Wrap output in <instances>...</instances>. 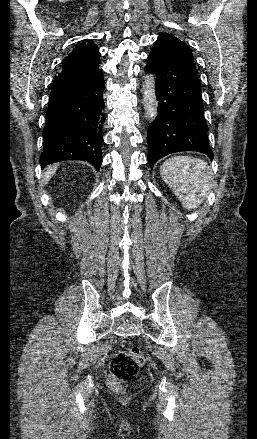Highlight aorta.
I'll list each match as a JSON object with an SVG mask.
<instances>
[{
  "label": "aorta",
  "mask_w": 257,
  "mask_h": 439,
  "mask_svg": "<svg viewBox=\"0 0 257 439\" xmlns=\"http://www.w3.org/2000/svg\"><path fill=\"white\" fill-rule=\"evenodd\" d=\"M142 93L145 116L150 121H154L157 116V102L155 95V80L152 74L145 77Z\"/></svg>",
  "instance_id": "762f6f07"
}]
</instances>
